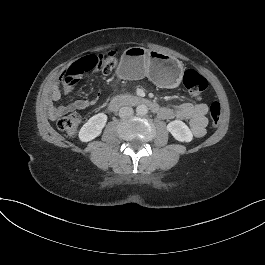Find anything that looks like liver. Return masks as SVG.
Here are the masks:
<instances>
[{"instance_id": "6515ba94", "label": "liver", "mask_w": 265, "mask_h": 265, "mask_svg": "<svg viewBox=\"0 0 265 265\" xmlns=\"http://www.w3.org/2000/svg\"><path fill=\"white\" fill-rule=\"evenodd\" d=\"M48 114H49V118H50V120H51L53 123H55V121L57 120V118H56V116H55V114H54V109H53L52 106L49 107V109H48Z\"/></svg>"}]
</instances>
